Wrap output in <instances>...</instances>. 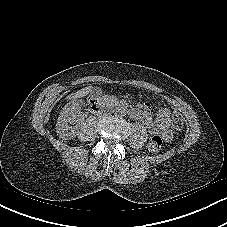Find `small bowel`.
<instances>
[{"instance_id": "obj_1", "label": "small bowel", "mask_w": 227, "mask_h": 227, "mask_svg": "<svg viewBox=\"0 0 227 227\" xmlns=\"http://www.w3.org/2000/svg\"><path fill=\"white\" fill-rule=\"evenodd\" d=\"M135 110L138 112V116L134 119L143 120L151 134L159 135L165 141H170L172 139V131L170 129L171 112L167 107L159 104L156 120L152 119L149 104H146L141 109Z\"/></svg>"}]
</instances>
